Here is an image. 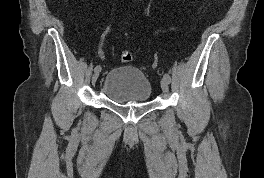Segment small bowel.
<instances>
[{
    "label": "small bowel",
    "instance_id": "obj_1",
    "mask_svg": "<svg viewBox=\"0 0 264 178\" xmlns=\"http://www.w3.org/2000/svg\"><path fill=\"white\" fill-rule=\"evenodd\" d=\"M98 54H99L100 58H104L105 57L104 52H103L102 49H99Z\"/></svg>",
    "mask_w": 264,
    "mask_h": 178
}]
</instances>
